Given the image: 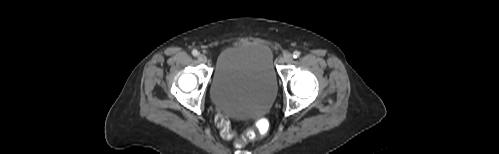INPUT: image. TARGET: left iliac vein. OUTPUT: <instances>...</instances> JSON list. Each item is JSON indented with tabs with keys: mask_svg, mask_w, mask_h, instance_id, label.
Returning <instances> with one entry per match:
<instances>
[{
	"mask_svg": "<svg viewBox=\"0 0 499 154\" xmlns=\"http://www.w3.org/2000/svg\"><path fill=\"white\" fill-rule=\"evenodd\" d=\"M292 60H293V55L290 53L285 54L283 57V61L286 63H290L292 62Z\"/></svg>",
	"mask_w": 499,
	"mask_h": 154,
	"instance_id": "left-iliac-vein-1",
	"label": "left iliac vein"
}]
</instances>
